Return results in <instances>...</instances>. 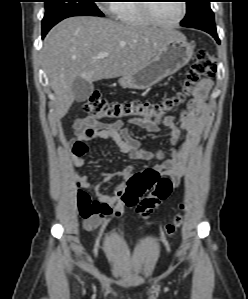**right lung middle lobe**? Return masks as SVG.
Segmentation results:
<instances>
[{
    "instance_id": "right-lung-middle-lobe-1",
    "label": "right lung middle lobe",
    "mask_w": 248,
    "mask_h": 299,
    "mask_svg": "<svg viewBox=\"0 0 248 299\" xmlns=\"http://www.w3.org/2000/svg\"><path fill=\"white\" fill-rule=\"evenodd\" d=\"M79 15L104 16L95 5V0H45L42 33L46 34L55 24L67 17Z\"/></svg>"
}]
</instances>
